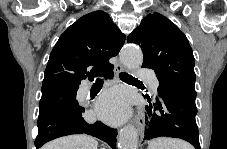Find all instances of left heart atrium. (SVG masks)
<instances>
[{
    "label": "left heart atrium",
    "mask_w": 227,
    "mask_h": 149,
    "mask_svg": "<svg viewBox=\"0 0 227 149\" xmlns=\"http://www.w3.org/2000/svg\"><path fill=\"white\" fill-rule=\"evenodd\" d=\"M128 113V97L122 90L113 89L107 91L98 102L97 114L108 122H120L128 116Z\"/></svg>",
    "instance_id": "39dd6f15"
}]
</instances>
